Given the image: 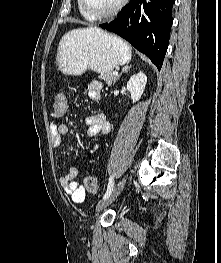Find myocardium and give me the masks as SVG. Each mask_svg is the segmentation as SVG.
Masks as SVG:
<instances>
[{"mask_svg": "<svg viewBox=\"0 0 221 263\" xmlns=\"http://www.w3.org/2000/svg\"><path fill=\"white\" fill-rule=\"evenodd\" d=\"M128 1L129 0H120V2L113 9L100 14H95L91 12L87 6L86 0H80V5L87 17H89L91 20H100L117 15L126 6Z\"/></svg>", "mask_w": 221, "mask_h": 263, "instance_id": "1", "label": "myocardium"}]
</instances>
